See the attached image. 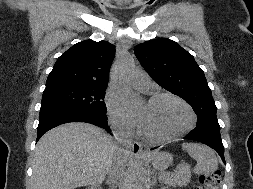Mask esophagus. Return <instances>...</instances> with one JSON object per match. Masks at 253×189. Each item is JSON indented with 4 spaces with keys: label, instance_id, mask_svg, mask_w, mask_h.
I'll use <instances>...</instances> for the list:
<instances>
[{
    "label": "esophagus",
    "instance_id": "34e87169",
    "mask_svg": "<svg viewBox=\"0 0 253 189\" xmlns=\"http://www.w3.org/2000/svg\"><path fill=\"white\" fill-rule=\"evenodd\" d=\"M131 150L134 155H144L145 154L142 145L137 141H134L131 144Z\"/></svg>",
    "mask_w": 253,
    "mask_h": 189
}]
</instances>
